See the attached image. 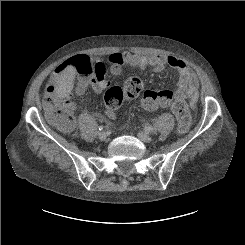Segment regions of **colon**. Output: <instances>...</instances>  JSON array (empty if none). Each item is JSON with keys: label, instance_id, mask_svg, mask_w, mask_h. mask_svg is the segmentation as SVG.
Returning <instances> with one entry per match:
<instances>
[{"label": "colon", "instance_id": "obj_1", "mask_svg": "<svg viewBox=\"0 0 245 245\" xmlns=\"http://www.w3.org/2000/svg\"><path fill=\"white\" fill-rule=\"evenodd\" d=\"M67 69L74 71L85 78L102 81L105 78V66L99 60L86 55H76L66 65ZM143 89L140 77L129 78L123 87H110L104 94L106 113L113 115L126 99L136 98ZM44 105L48 120L62 132L72 130L74 122L71 115L72 101L68 96L62 95L57 89L46 92ZM142 105L148 110L156 108H170L177 119V131L185 134L191 124L189 107L183 97L171 90H148L142 96Z\"/></svg>", "mask_w": 245, "mask_h": 245}]
</instances>
